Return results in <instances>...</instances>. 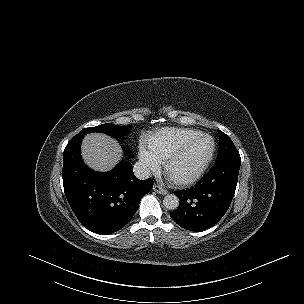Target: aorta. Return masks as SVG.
<instances>
[{
    "mask_svg": "<svg viewBox=\"0 0 304 304\" xmlns=\"http://www.w3.org/2000/svg\"><path fill=\"white\" fill-rule=\"evenodd\" d=\"M163 204L168 210H176L179 206V198L174 194H167L163 199Z\"/></svg>",
    "mask_w": 304,
    "mask_h": 304,
    "instance_id": "762f6f07",
    "label": "aorta"
}]
</instances>
